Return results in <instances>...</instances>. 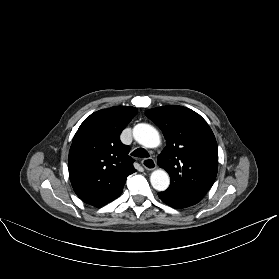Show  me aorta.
<instances>
[{
  "instance_id": "aorta-1",
  "label": "aorta",
  "mask_w": 279,
  "mask_h": 279,
  "mask_svg": "<svg viewBox=\"0 0 279 279\" xmlns=\"http://www.w3.org/2000/svg\"><path fill=\"white\" fill-rule=\"evenodd\" d=\"M133 136L139 144L148 148L157 147L160 143L158 131L149 124H137L133 129ZM150 182L155 190L165 191L170 184V178L165 170L157 169L151 173Z\"/></svg>"
}]
</instances>
